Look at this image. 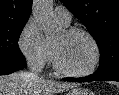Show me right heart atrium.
I'll return each mask as SVG.
<instances>
[{
    "mask_svg": "<svg viewBox=\"0 0 119 95\" xmlns=\"http://www.w3.org/2000/svg\"><path fill=\"white\" fill-rule=\"evenodd\" d=\"M18 45L33 69H42L52 57V45L45 38L39 25L32 19L22 28Z\"/></svg>",
    "mask_w": 119,
    "mask_h": 95,
    "instance_id": "1",
    "label": "right heart atrium"
}]
</instances>
